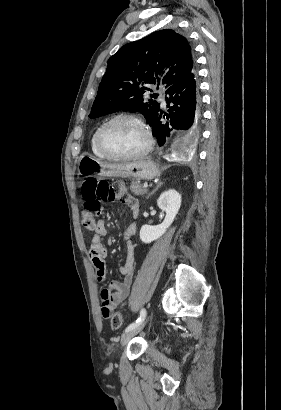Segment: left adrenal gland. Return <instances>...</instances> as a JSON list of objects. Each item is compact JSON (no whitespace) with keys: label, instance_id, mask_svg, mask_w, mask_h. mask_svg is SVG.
<instances>
[{"label":"left adrenal gland","instance_id":"obj_1","mask_svg":"<svg viewBox=\"0 0 281 410\" xmlns=\"http://www.w3.org/2000/svg\"><path fill=\"white\" fill-rule=\"evenodd\" d=\"M163 185V182H159L156 186V188L148 194L147 198H149V196H151L152 194H154L161 186Z\"/></svg>","mask_w":281,"mask_h":410}]
</instances>
